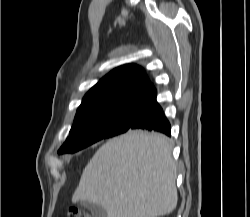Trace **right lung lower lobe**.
Returning <instances> with one entry per match:
<instances>
[{
	"label": "right lung lower lobe",
	"mask_w": 250,
	"mask_h": 217,
	"mask_svg": "<svg viewBox=\"0 0 250 217\" xmlns=\"http://www.w3.org/2000/svg\"><path fill=\"white\" fill-rule=\"evenodd\" d=\"M170 123L156 101V93L145 100L130 129L156 131L170 136Z\"/></svg>",
	"instance_id": "98d812e1"
}]
</instances>
